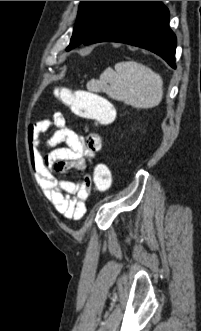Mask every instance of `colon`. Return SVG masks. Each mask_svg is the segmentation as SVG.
<instances>
[{
  "label": "colon",
  "instance_id": "colon-1",
  "mask_svg": "<svg viewBox=\"0 0 201 331\" xmlns=\"http://www.w3.org/2000/svg\"><path fill=\"white\" fill-rule=\"evenodd\" d=\"M55 94L76 115L98 125H108L115 119V109L112 104L96 92L58 88ZM111 184L112 176L109 168L104 164L96 165L91 188L93 187L96 192L105 193L110 189Z\"/></svg>",
  "mask_w": 201,
  "mask_h": 331
}]
</instances>
